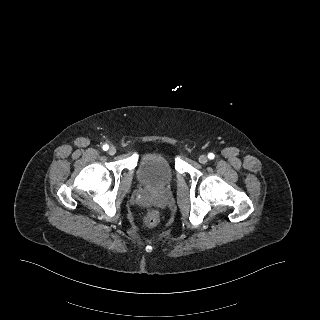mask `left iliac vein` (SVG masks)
Segmentation results:
<instances>
[{
    "instance_id": "1",
    "label": "left iliac vein",
    "mask_w": 320,
    "mask_h": 320,
    "mask_svg": "<svg viewBox=\"0 0 320 320\" xmlns=\"http://www.w3.org/2000/svg\"><path fill=\"white\" fill-rule=\"evenodd\" d=\"M198 161H199L201 164H205V163H207L208 158H207V156H205V155H200L199 158H198Z\"/></svg>"
}]
</instances>
